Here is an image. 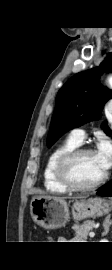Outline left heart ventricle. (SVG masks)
Masks as SVG:
<instances>
[{
  "mask_svg": "<svg viewBox=\"0 0 112 270\" xmlns=\"http://www.w3.org/2000/svg\"><path fill=\"white\" fill-rule=\"evenodd\" d=\"M104 173L95 153L79 157L71 166L72 177L81 185H89L98 181Z\"/></svg>",
  "mask_w": 112,
  "mask_h": 270,
  "instance_id": "obj_1",
  "label": "left heart ventricle"
}]
</instances>
